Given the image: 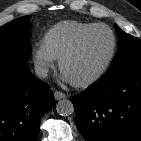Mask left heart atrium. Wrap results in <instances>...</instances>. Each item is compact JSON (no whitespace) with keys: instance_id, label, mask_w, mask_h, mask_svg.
Listing matches in <instances>:
<instances>
[{"instance_id":"obj_1","label":"left heart atrium","mask_w":141,"mask_h":141,"mask_svg":"<svg viewBox=\"0 0 141 141\" xmlns=\"http://www.w3.org/2000/svg\"><path fill=\"white\" fill-rule=\"evenodd\" d=\"M63 79L65 80V81H70L69 79H68V77L63 73Z\"/></svg>"}]
</instances>
